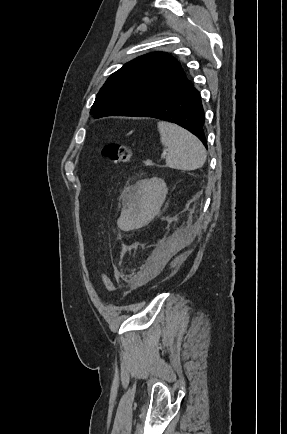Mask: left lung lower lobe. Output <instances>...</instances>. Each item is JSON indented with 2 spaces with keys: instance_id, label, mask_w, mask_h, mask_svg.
Returning <instances> with one entry per match:
<instances>
[{
  "instance_id": "1",
  "label": "left lung lower lobe",
  "mask_w": 287,
  "mask_h": 434,
  "mask_svg": "<svg viewBox=\"0 0 287 434\" xmlns=\"http://www.w3.org/2000/svg\"><path fill=\"white\" fill-rule=\"evenodd\" d=\"M134 116L176 123L197 136L207 147L200 93L188 79L158 102L141 109Z\"/></svg>"
}]
</instances>
